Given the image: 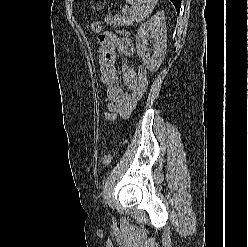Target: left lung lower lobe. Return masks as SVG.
<instances>
[{
    "mask_svg": "<svg viewBox=\"0 0 248 247\" xmlns=\"http://www.w3.org/2000/svg\"><path fill=\"white\" fill-rule=\"evenodd\" d=\"M171 1L174 4L177 13H179V11H180V5H181V0H171Z\"/></svg>",
    "mask_w": 248,
    "mask_h": 247,
    "instance_id": "obj_1",
    "label": "left lung lower lobe"
}]
</instances>
